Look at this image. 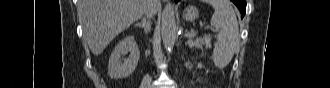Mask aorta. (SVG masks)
<instances>
[{
    "instance_id": "obj_1",
    "label": "aorta",
    "mask_w": 330,
    "mask_h": 88,
    "mask_svg": "<svg viewBox=\"0 0 330 88\" xmlns=\"http://www.w3.org/2000/svg\"><path fill=\"white\" fill-rule=\"evenodd\" d=\"M161 36L163 45L168 55H170L177 36L174 5L171 3H167L162 12Z\"/></svg>"
}]
</instances>
